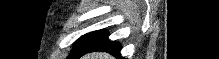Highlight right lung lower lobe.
Masks as SVG:
<instances>
[{
	"instance_id": "obj_1",
	"label": "right lung lower lobe",
	"mask_w": 219,
	"mask_h": 59,
	"mask_svg": "<svg viewBox=\"0 0 219 59\" xmlns=\"http://www.w3.org/2000/svg\"><path fill=\"white\" fill-rule=\"evenodd\" d=\"M120 50L121 45L116 41H110L107 36L99 41L91 50L88 52L93 51H104L108 52L113 56L120 57ZM87 52V53H88ZM86 54V53H85ZM84 55V54H83Z\"/></svg>"
}]
</instances>
